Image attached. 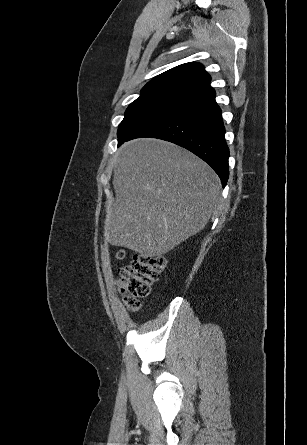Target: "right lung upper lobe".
Instances as JSON below:
<instances>
[{"mask_svg": "<svg viewBox=\"0 0 307 445\" xmlns=\"http://www.w3.org/2000/svg\"><path fill=\"white\" fill-rule=\"evenodd\" d=\"M210 76L200 63L176 66L148 82L141 96L155 95L189 100L212 89Z\"/></svg>", "mask_w": 307, "mask_h": 445, "instance_id": "obj_1", "label": "right lung upper lobe"}]
</instances>
